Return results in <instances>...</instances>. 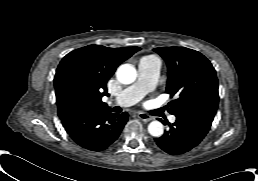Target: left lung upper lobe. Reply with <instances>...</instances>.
<instances>
[{
    "label": "left lung upper lobe",
    "mask_w": 258,
    "mask_h": 181,
    "mask_svg": "<svg viewBox=\"0 0 258 181\" xmlns=\"http://www.w3.org/2000/svg\"><path fill=\"white\" fill-rule=\"evenodd\" d=\"M167 63L166 92L171 101L168 112L177 114H203L214 117L219 95L216 71L201 53L185 47L155 48Z\"/></svg>",
    "instance_id": "5c2ea615"
}]
</instances>
